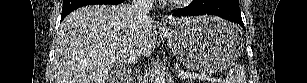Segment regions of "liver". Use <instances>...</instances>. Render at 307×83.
Listing matches in <instances>:
<instances>
[{
  "label": "liver",
  "mask_w": 307,
  "mask_h": 83,
  "mask_svg": "<svg viewBox=\"0 0 307 83\" xmlns=\"http://www.w3.org/2000/svg\"><path fill=\"white\" fill-rule=\"evenodd\" d=\"M191 19V18H189ZM169 19L172 25L189 20ZM157 41L154 21L140 22L129 5H89L71 12L59 28L54 83H105L112 68L148 57ZM112 51L107 55L105 52Z\"/></svg>",
  "instance_id": "6515ba94"
}]
</instances>
